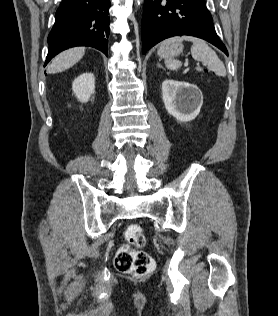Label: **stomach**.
Masks as SVG:
<instances>
[{
  "mask_svg": "<svg viewBox=\"0 0 278 316\" xmlns=\"http://www.w3.org/2000/svg\"><path fill=\"white\" fill-rule=\"evenodd\" d=\"M183 50V45L179 42H174L167 46H161L158 49V55L161 58H171L176 55H179Z\"/></svg>",
  "mask_w": 278,
  "mask_h": 316,
  "instance_id": "obj_1",
  "label": "stomach"
}]
</instances>
